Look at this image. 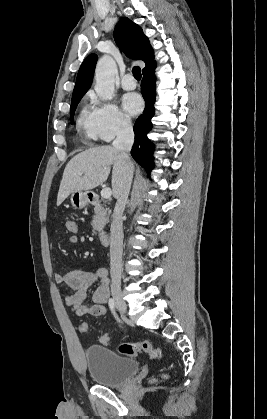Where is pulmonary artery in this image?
Listing matches in <instances>:
<instances>
[{"mask_svg": "<svg viewBox=\"0 0 267 419\" xmlns=\"http://www.w3.org/2000/svg\"><path fill=\"white\" fill-rule=\"evenodd\" d=\"M121 85L125 90H133L136 88L137 84L132 74H126L121 81Z\"/></svg>", "mask_w": 267, "mask_h": 419, "instance_id": "obj_1", "label": "pulmonary artery"}]
</instances>
